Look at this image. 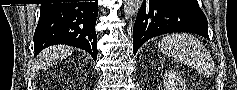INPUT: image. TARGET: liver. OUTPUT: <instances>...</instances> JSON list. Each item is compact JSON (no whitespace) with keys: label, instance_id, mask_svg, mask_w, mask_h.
<instances>
[{"label":"liver","instance_id":"obj_1","mask_svg":"<svg viewBox=\"0 0 237 90\" xmlns=\"http://www.w3.org/2000/svg\"><path fill=\"white\" fill-rule=\"evenodd\" d=\"M72 52H74L73 48H67V46L47 48V50H43L42 54H40L39 62L42 66H50V64H54V62H57L60 58L71 56Z\"/></svg>","mask_w":237,"mask_h":90}]
</instances>
